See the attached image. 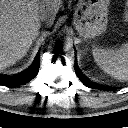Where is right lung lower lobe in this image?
<instances>
[{
	"label": "right lung lower lobe",
	"instance_id": "right-lung-lower-lobe-1",
	"mask_svg": "<svg viewBox=\"0 0 128 128\" xmlns=\"http://www.w3.org/2000/svg\"><path fill=\"white\" fill-rule=\"evenodd\" d=\"M39 56L40 52L37 53L32 65L24 72L15 76H5L0 74V85L5 86H17L22 85L32 80L39 71Z\"/></svg>",
	"mask_w": 128,
	"mask_h": 128
}]
</instances>
